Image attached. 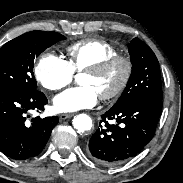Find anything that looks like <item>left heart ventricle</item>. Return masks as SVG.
<instances>
[{"label":"left heart ventricle","instance_id":"1","mask_svg":"<svg viewBox=\"0 0 183 183\" xmlns=\"http://www.w3.org/2000/svg\"><path fill=\"white\" fill-rule=\"evenodd\" d=\"M123 72V65L118 63L100 75H90L83 73L79 83L82 86L92 87L100 96L101 94L111 91L119 84L123 76Z\"/></svg>","mask_w":183,"mask_h":183}]
</instances>
